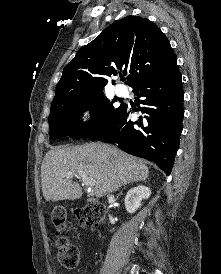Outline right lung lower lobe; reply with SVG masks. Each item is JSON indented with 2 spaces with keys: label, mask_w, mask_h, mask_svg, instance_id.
<instances>
[{
  "label": "right lung lower lobe",
  "mask_w": 221,
  "mask_h": 274,
  "mask_svg": "<svg viewBox=\"0 0 221 274\" xmlns=\"http://www.w3.org/2000/svg\"><path fill=\"white\" fill-rule=\"evenodd\" d=\"M135 111H141L137 121H131L127 105L117 116L91 139L115 143L123 151L154 161L170 175L182 132L183 99L182 76L177 58L133 86Z\"/></svg>",
  "instance_id": "98d812e1"
}]
</instances>
